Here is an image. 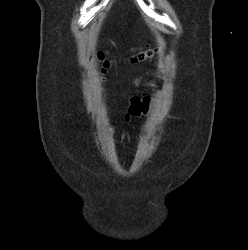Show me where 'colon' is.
<instances>
[{
  "label": "colon",
  "mask_w": 248,
  "mask_h": 250,
  "mask_svg": "<svg viewBox=\"0 0 248 250\" xmlns=\"http://www.w3.org/2000/svg\"><path fill=\"white\" fill-rule=\"evenodd\" d=\"M156 54V50L151 49V48H139L136 50L134 55L131 57L132 62H140V61H145V60H150L154 57ZM99 58L102 61V66L104 69L108 68L111 65V62L109 59L106 58L105 53L101 52L99 54ZM134 108L133 111H138L140 109V103H139V98H136L134 100Z\"/></svg>",
  "instance_id": "5ec220e1"
}]
</instances>
